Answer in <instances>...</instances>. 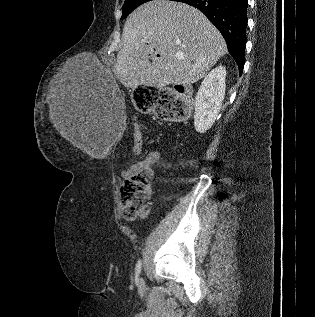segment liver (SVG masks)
I'll list each match as a JSON object with an SVG mask.
<instances>
[{
    "mask_svg": "<svg viewBox=\"0 0 315 317\" xmlns=\"http://www.w3.org/2000/svg\"><path fill=\"white\" fill-rule=\"evenodd\" d=\"M122 41L115 74L126 88L191 85L227 53L221 33L203 13L169 0H153L134 10L124 24ZM49 114L64 138L84 148L82 120L65 82L55 88Z\"/></svg>",
    "mask_w": 315,
    "mask_h": 317,
    "instance_id": "liver-1",
    "label": "liver"
}]
</instances>
